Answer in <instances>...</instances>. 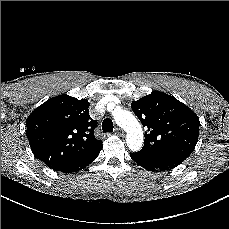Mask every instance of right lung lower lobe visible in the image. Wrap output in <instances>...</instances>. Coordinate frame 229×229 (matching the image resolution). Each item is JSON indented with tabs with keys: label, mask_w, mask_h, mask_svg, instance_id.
<instances>
[{
	"label": "right lung lower lobe",
	"mask_w": 229,
	"mask_h": 229,
	"mask_svg": "<svg viewBox=\"0 0 229 229\" xmlns=\"http://www.w3.org/2000/svg\"><path fill=\"white\" fill-rule=\"evenodd\" d=\"M102 148V147H101ZM101 148L99 150H97L96 152L84 157V158H81L65 167H62V168H59V169H54L55 171H60V172H63V173H73V172H78L80 171L81 169H83L84 167H86L87 165H89L92 161H94Z\"/></svg>",
	"instance_id": "98d812e1"
}]
</instances>
